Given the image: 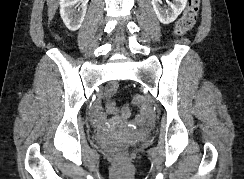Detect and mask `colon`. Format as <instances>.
Instances as JSON below:
<instances>
[{
    "mask_svg": "<svg viewBox=\"0 0 244 179\" xmlns=\"http://www.w3.org/2000/svg\"><path fill=\"white\" fill-rule=\"evenodd\" d=\"M199 10L200 0H191L176 23L175 34L184 35L189 32L196 22ZM136 103H139L138 110L151 109L149 98H144V95H135L134 100L127 101L124 107H120L119 104H106V109H118L120 114H116V111H105V116H116V119H121V123H128V119H131L132 111V108L129 106H135ZM116 158H126L125 150H118Z\"/></svg>",
    "mask_w": 244,
    "mask_h": 179,
    "instance_id": "5ec220e1",
    "label": "colon"
}]
</instances>
